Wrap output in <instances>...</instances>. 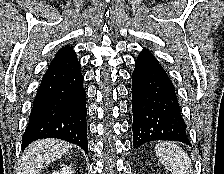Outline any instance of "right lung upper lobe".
Returning a JSON list of instances; mask_svg holds the SVG:
<instances>
[{
	"instance_id": "1",
	"label": "right lung upper lobe",
	"mask_w": 224,
	"mask_h": 174,
	"mask_svg": "<svg viewBox=\"0 0 224 174\" xmlns=\"http://www.w3.org/2000/svg\"><path fill=\"white\" fill-rule=\"evenodd\" d=\"M71 52H74V51L72 50V47H70V46H65V47L61 48V49L56 53L55 58H56V57H59V56L66 55V54H69V53H71Z\"/></svg>"
}]
</instances>
